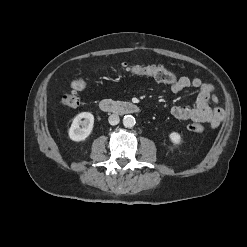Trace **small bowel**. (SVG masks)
Returning <instances> with one entry per match:
<instances>
[{"label":"small bowel","instance_id":"obj_1","mask_svg":"<svg viewBox=\"0 0 247 247\" xmlns=\"http://www.w3.org/2000/svg\"><path fill=\"white\" fill-rule=\"evenodd\" d=\"M195 88L198 90L194 107L174 106L171 114L178 120H189L194 123L208 124L210 128H217L224 119V111L218 106H211V102L217 103L213 85L200 78L180 77L176 83L170 85L173 93L184 89Z\"/></svg>","mask_w":247,"mask_h":247}]
</instances>
